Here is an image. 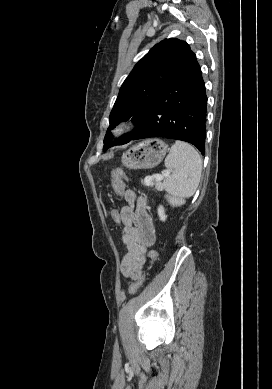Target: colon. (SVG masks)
<instances>
[{
  "label": "colon",
  "instance_id": "5ec220e1",
  "mask_svg": "<svg viewBox=\"0 0 272 389\" xmlns=\"http://www.w3.org/2000/svg\"><path fill=\"white\" fill-rule=\"evenodd\" d=\"M126 179V176L124 172L121 169H114L111 172V183L113 191L116 195L121 196L124 193L125 190V184L124 181ZM111 217L114 223L120 224L121 223V215L120 211L116 208L112 209L111 211ZM144 284V277H140L138 280L133 282L130 286V293L136 294L143 286Z\"/></svg>",
  "mask_w": 272,
  "mask_h": 389
}]
</instances>
